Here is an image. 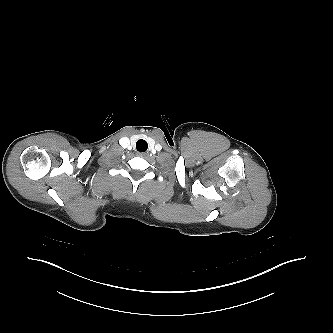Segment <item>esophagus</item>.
I'll return each instance as SVG.
<instances>
[{
	"label": "esophagus",
	"mask_w": 333,
	"mask_h": 333,
	"mask_svg": "<svg viewBox=\"0 0 333 333\" xmlns=\"http://www.w3.org/2000/svg\"><path fill=\"white\" fill-rule=\"evenodd\" d=\"M136 155L139 156V157H145L146 153L138 152Z\"/></svg>",
	"instance_id": "obj_1"
}]
</instances>
